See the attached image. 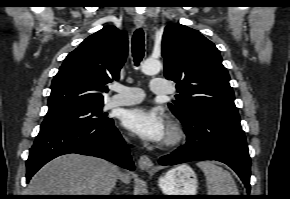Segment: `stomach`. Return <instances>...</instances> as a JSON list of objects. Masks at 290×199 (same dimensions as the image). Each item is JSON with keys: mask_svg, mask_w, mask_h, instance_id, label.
Here are the masks:
<instances>
[{"mask_svg": "<svg viewBox=\"0 0 290 199\" xmlns=\"http://www.w3.org/2000/svg\"><path fill=\"white\" fill-rule=\"evenodd\" d=\"M159 186L165 195H196L198 180L189 166L180 165L160 178Z\"/></svg>", "mask_w": 290, "mask_h": 199, "instance_id": "1", "label": "stomach"}]
</instances>
